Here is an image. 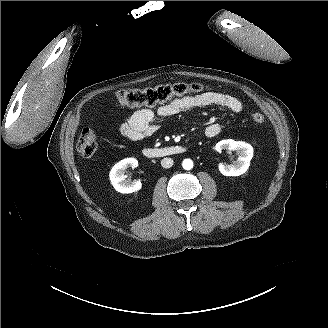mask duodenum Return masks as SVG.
<instances>
[{"mask_svg": "<svg viewBox=\"0 0 328 328\" xmlns=\"http://www.w3.org/2000/svg\"><path fill=\"white\" fill-rule=\"evenodd\" d=\"M186 151V148L180 145H171L165 147H149L144 148L142 153L146 158L149 159H156V158H163V157H170L174 155L182 154Z\"/></svg>", "mask_w": 328, "mask_h": 328, "instance_id": "1", "label": "duodenum"}]
</instances>
